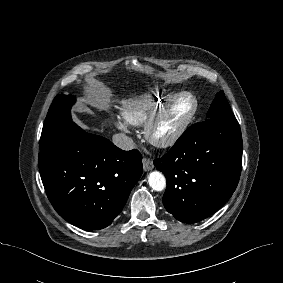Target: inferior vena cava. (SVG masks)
Instances as JSON below:
<instances>
[{"mask_svg": "<svg viewBox=\"0 0 283 283\" xmlns=\"http://www.w3.org/2000/svg\"><path fill=\"white\" fill-rule=\"evenodd\" d=\"M113 143L122 150H132L135 148L133 139L124 133H118L112 137Z\"/></svg>", "mask_w": 283, "mask_h": 283, "instance_id": "obj_1", "label": "inferior vena cava"}]
</instances>
